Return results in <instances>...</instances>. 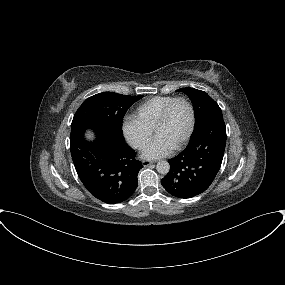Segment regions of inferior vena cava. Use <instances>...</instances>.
<instances>
[{
  "mask_svg": "<svg viewBox=\"0 0 285 285\" xmlns=\"http://www.w3.org/2000/svg\"><path fill=\"white\" fill-rule=\"evenodd\" d=\"M133 146L135 148H142L144 146V144L141 141H136L133 143Z\"/></svg>",
  "mask_w": 285,
  "mask_h": 285,
  "instance_id": "obj_1",
  "label": "inferior vena cava"
}]
</instances>
